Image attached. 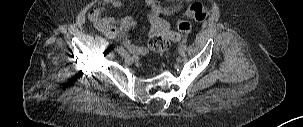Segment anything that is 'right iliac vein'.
<instances>
[{"mask_svg": "<svg viewBox=\"0 0 303 127\" xmlns=\"http://www.w3.org/2000/svg\"><path fill=\"white\" fill-rule=\"evenodd\" d=\"M118 53H119L122 57H124V58L129 57L128 52H127L123 47H120V48L118 49Z\"/></svg>", "mask_w": 303, "mask_h": 127, "instance_id": "right-iliac-vein-1", "label": "right iliac vein"}]
</instances>
